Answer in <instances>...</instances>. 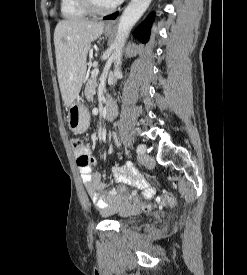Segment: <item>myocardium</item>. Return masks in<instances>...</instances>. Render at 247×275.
Masks as SVG:
<instances>
[{
  "label": "myocardium",
  "mask_w": 247,
  "mask_h": 275,
  "mask_svg": "<svg viewBox=\"0 0 247 275\" xmlns=\"http://www.w3.org/2000/svg\"><path fill=\"white\" fill-rule=\"evenodd\" d=\"M78 3L82 8H84L88 13L93 15H106L114 11L118 4H114L109 8H100L96 5L94 0H78Z\"/></svg>",
  "instance_id": "1"
}]
</instances>
